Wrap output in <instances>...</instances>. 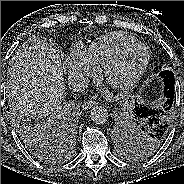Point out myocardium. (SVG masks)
<instances>
[{"label":"myocardium","instance_id":"myocardium-1","mask_svg":"<svg viewBox=\"0 0 184 184\" xmlns=\"http://www.w3.org/2000/svg\"><path fill=\"white\" fill-rule=\"evenodd\" d=\"M135 49L143 50L144 58L138 69L128 78H126L123 82L110 83V85L113 88L119 91L124 92L133 88L139 82L141 77L144 75L150 61L149 48L140 42H135L133 44L126 45L125 47L120 49L117 53H115L111 58H109L102 66L101 75L106 79L110 69L114 67L116 64H118L129 52Z\"/></svg>","mask_w":184,"mask_h":184}]
</instances>
